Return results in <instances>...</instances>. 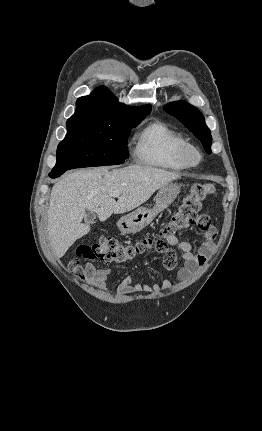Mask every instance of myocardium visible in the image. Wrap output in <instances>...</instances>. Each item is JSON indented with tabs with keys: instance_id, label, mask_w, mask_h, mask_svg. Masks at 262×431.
<instances>
[{
	"instance_id": "myocardium-1",
	"label": "myocardium",
	"mask_w": 262,
	"mask_h": 431,
	"mask_svg": "<svg viewBox=\"0 0 262 431\" xmlns=\"http://www.w3.org/2000/svg\"><path fill=\"white\" fill-rule=\"evenodd\" d=\"M179 157L186 168H195L200 165L202 160L200 151L191 144H187L181 149Z\"/></svg>"
}]
</instances>
